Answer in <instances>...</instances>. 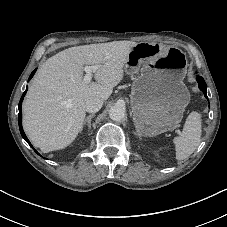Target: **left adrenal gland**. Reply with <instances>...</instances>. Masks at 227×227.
Here are the masks:
<instances>
[{
    "instance_id": "a2214340",
    "label": "left adrenal gland",
    "mask_w": 227,
    "mask_h": 227,
    "mask_svg": "<svg viewBox=\"0 0 227 227\" xmlns=\"http://www.w3.org/2000/svg\"><path fill=\"white\" fill-rule=\"evenodd\" d=\"M138 136H139V138H141V135H140V133L137 131V133H136Z\"/></svg>"
}]
</instances>
